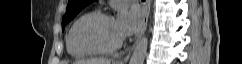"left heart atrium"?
Returning a JSON list of instances; mask_svg holds the SVG:
<instances>
[{
	"mask_svg": "<svg viewBox=\"0 0 242 64\" xmlns=\"http://www.w3.org/2000/svg\"><path fill=\"white\" fill-rule=\"evenodd\" d=\"M140 24V15L134 10L122 9L114 19L115 30L120 39L133 35L140 28Z\"/></svg>",
	"mask_w": 242,
	"mask_h": 64,
	"instance_id": "obj_1",
	"label": "left heart atrium"
}]
</instances>
